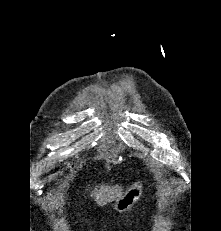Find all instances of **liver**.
<instances>
[{
  "label": "liver",
  "mask_w": 221,
  "mask_h": 231,
  "mask_svg": "<svg viewBox=\"0 0 221 231\" xmlns=\"http://www.w3.org/2000/svg\"><path fill=\"white\" fill-rule=\"evenodd\" d=\"M123 188L121 186H101L99 189L96 188L94 192H92L91 196H94L95 201L98 206L106 205L107 203H111L116 201L123 195Z\"/></svg>",
  "instance_id": "obj_1"
}]
</instances>
